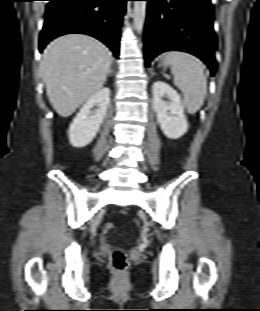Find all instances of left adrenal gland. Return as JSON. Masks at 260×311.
<instances>
[{
	"label": "left adrenal gland",
	"mask_w": 260,
	"mask_h": 311,
	"mask_svg": "<svg viewBox=\"0 0 260 311\" xmlns=\"http://www.w3.org/2000/svg\"><path fill=\"white\" fill-rule=\"evenodd\" d=\"M151 75L153 76V75H156V73H154V72H151Z\"/></svg>",
	"instance_id": "obj_1"
}]
</instances>
